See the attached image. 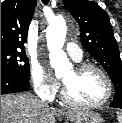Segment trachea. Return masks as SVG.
<instances>
[{
	"mask_svg": "<svg viewBox=\"0 0 122 123\" xmlns=\"http://www.w3.org/2000/svg\"><path fill=\"white\" fill-rule=\"evenodd\" d=\"M42 3L47 5L49 3V0H42Z\"/></svg>",
	"mask_w": 122,
	"mask_h": 123,
	"instance_id": "trachea-1",
	"label": "trachea"
}]
</instances>
